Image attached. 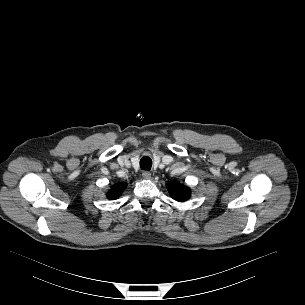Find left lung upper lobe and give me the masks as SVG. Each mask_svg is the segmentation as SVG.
Wrapping results in <instances>:
<instances>
[{"instance_id":"left-lung-upper-lobe-1","label":"left lung upper lobe","mask_w":305,"mask_h":305,"mask_svg":"<svg viewBox=\"0 0 305 305\" xmlns=\"http://www.w3.org/2000/svg\"><path fill=\"white\" fill-rule=\"evenodd\" d=\"M168 191L172 198L177 201H186L190 197V190L186 186L177 181H172L168 184Z\"/></svg>"}]
</instances>
